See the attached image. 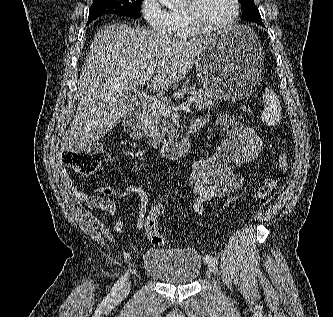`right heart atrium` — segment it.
Returning a JSON list of instances; mask_svg holds the SVG:
<instances>
[{"mask_svg":"<svg viewBox=\"0 0 333 317\" xmlns=\"http://www.w3.org/2000/svg\"><path fill=\"white\" fill-rule=\"evenodd\" d=\"M140 12L146 23L157 32H169L171 21L170 12L159 0H141Z\"/></svg>","mask_w":333,"mask_h":317,"instance_id":"1","label":"right heart atrium"}]
</instances>
